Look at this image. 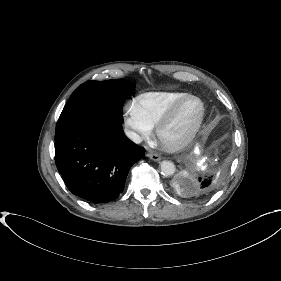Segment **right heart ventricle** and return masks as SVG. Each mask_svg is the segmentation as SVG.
<instances>
[{
	"label": "right heart ventricle",
	"mask_w": 281,
	"mask_h": 281,
	"mask_svg": "<svg viewBox=\"0 0 281 281\" xmlns=\"http://www.w3.org/2000/svg\"><path fill=\"white\" fill-rule=\"evenodd\" d=\"M186 95L178 91L146 92L137 96L135 103L146 123L154 128L167 111Z\"/></svg>",
	"instance_id": "obj_1"
}]
</instances>
